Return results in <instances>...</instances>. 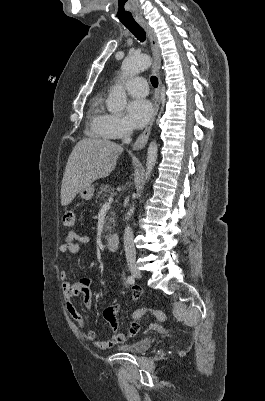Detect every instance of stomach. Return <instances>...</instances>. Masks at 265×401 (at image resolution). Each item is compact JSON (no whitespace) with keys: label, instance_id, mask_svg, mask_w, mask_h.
I'll list each match as a JSON object with an SVG mask.
<instances>
[{"label":"stomach","instance_id":"stomach-1","mask_svg":"<svg viewBox=\"0 0 265 401\" xmlns=\"http://www.w3.org/2000/svg\"><path fill=\"white\" fill-rule=\"evenodd\" d=\"M94 192V184H85L81 190H79V194L81 198H85V201H90Z\"/></svg>","mask_w":265,"mask_h":401}]
</instances>
